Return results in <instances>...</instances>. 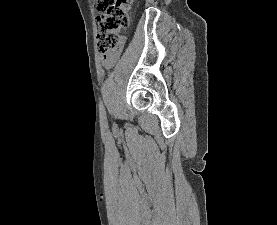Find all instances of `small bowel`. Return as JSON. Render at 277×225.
<instances>
[{"mask_svg":"<svg viewBox=\"0 0 277 225\" xmlns=\"http://www.w3.org/2000/svg\"><path fill=\"white\" fill-rule=\"evenodd\" d=\"M119 53L112 54V55H104L102 56L101 60L106 68H110L118 59Z\"/></svg>","mask_w":277,"mask_h":225,"instance_id":"1","label":"small bowel"}]
</instances>
